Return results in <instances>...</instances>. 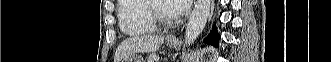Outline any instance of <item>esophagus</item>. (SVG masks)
<instances>
[{"label": "esophagus", "mask_w": 331, "mask_h": 62, "mask_svg": "<svg viewBox=\"0 0 331 62\" xmlns=\"http://www.w3.org/2000/svg\"><path fill=\"white\" fill-rule=\"evenodd\" d=\"M168 39L170 41H177V36H170Z\"/></svg>", "instance_id": "esophagus-1"}]
</instances>
